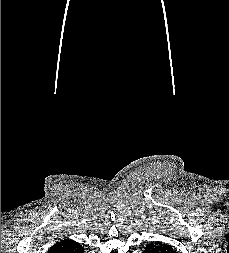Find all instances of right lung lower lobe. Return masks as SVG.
I'll return each instance as SVG.
<instances>
[{
  "label": "right lung lower lobe",
  "mask_w": 229,
  "mask_h": 253,
  "mask_svg": "<svg viewBox=\"0 0 229 253\" xmlns=\"http://www.w3.org/2000/svg\"><path fill=\"white\" fill-rule=\"evenodd\" d=\"M48 253H84V249L78 242L70 240L67 243L52 246Z\"/></svg>",
  "instance_id": "right-lung-lower-lobe-1"
}]
</instances>
